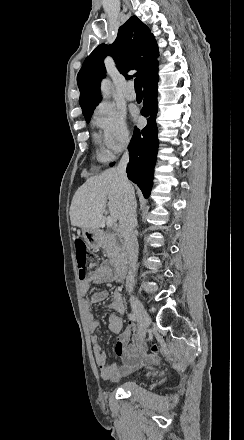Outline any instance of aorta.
I'll use <instances>...</instances> for the list:
<instances>
[{
	"label": "aorta",
	"instance_id": "1",
	"mask_svg": "<svg viewBox=\"0 0 244 440\" xmlns=\"http://www.w3.org/2000/svg\"><path fill=\"white\" fill-rule=\"evenodd\" d=\"M111 91H112L111 82L108 80L103 81L102 85H101V92H102L103 97H109Z\"/></svg>",
	"mask_w": 244,
	"mask_h": 440
}]
</instances>
